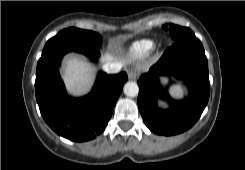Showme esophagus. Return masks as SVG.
I'll list each match as a JSON object with an SVG mask.
<instances>
[{"instance_id":"esophagus-1","label":"esophagus","mask_w":245,"mask_h":170,"mask_svg":"<svg viewBox=\"0 0 245 170\" xmlns=\"http://www.w3.org/2000/svg\"><path fill=\"white\" fill-rule=\"evenodd\" d=\"M138 71L136 69H132L128 72V77L130 80H135L138 77Z\"/></svg>"}]
</instances>
